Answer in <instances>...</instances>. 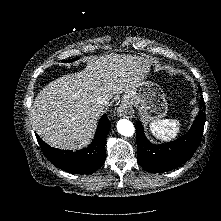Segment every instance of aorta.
Instances as JSON below:
<instances>
[{
	"mask_svg": "<svg viewBox=\"0 0 221 221\" xmlns=\"http://www.w3.org/2000/svg\"><path fill=\"white\" fill-rule=\"evenodd\" d=\"M117 130L121 135L126 137H131L135 132L133 123L127 119H120L117 122Z\"/></svg>",
	"mask_w": 221,
	"mask_h": 221,
	"instance_id": "1",
	"label": "aorta"
}]
</instances>
